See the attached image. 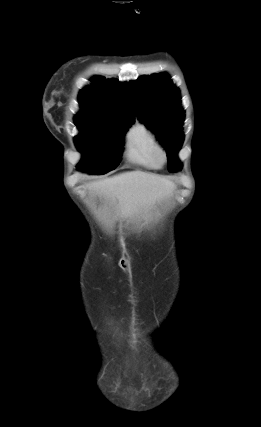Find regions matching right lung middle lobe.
<instances>
[{
	"label": "right lung middle lobe",
	"mask_w": 261,
	"mask_h": 427,
	"mask_svg": "<svg viewBox=\"0 0 261 427\" xmlns=\"http://www.w3.org/2000/svg\"><path fill=\"white\" fill-rule=\"evenodd\" d=\"M75 123L81 131L75 143L83 153L78 169H88L95 175L115 169L121 160L124 134L133 122L75 117Z\"/></svg>",
	"instance_id": "dd1d6c3e"
}]
</instances>
